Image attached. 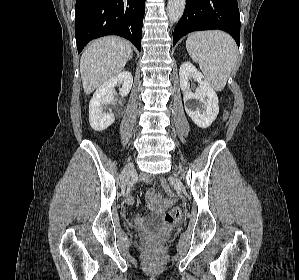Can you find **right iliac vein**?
Listing matches in <instances>:
<instances>
[{
    "label": "right iliac vein",
    "mask_w": 299,
    "mask_h": 280,
    "mask_svg": "<svg viewBox=\"0 0 299 280\" xmlns=\"http://www.w3.org/2000/svg\"><path fill=\"white\" fill-rule=\"evenodd\" d=\"M133 170V164L130 163L124 170L122 173V187H125L127 180H128V176L129 173Z\"/></svg>",
    "instance_id": "1"
}]
</instances>
